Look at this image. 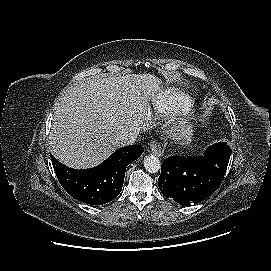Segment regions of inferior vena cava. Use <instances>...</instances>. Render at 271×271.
<instances>
[{
  "instance_id": "obj_1",
  "label": "inferior vena cava",
  "mask_w": 271,
  "mask_h": 271,
  "mask_svg": "<svg viewBox=\"0 0 271 271\" xmlns=\"http://www.w3.org/2000/svg\"><path fill=\"white\" fill-rule=\"evenodd\" d=\"M139 134V131H126L119 134L115 140V144L117 147H124L128 145H132Z\"/></svg>"
}]
</instances>
